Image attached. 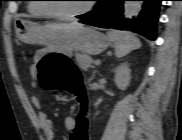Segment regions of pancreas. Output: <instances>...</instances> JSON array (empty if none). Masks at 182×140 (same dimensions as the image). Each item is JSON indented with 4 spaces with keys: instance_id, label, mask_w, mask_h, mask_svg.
I'll return each mask as SVG.
<instances>
[{
    "instance_id": "1",
    "label": "pancreas",
    "mask_w": 182,
    "mask_h": 140,
    "mask_svg": "<svg viewBox=\"0 0 182 140\" xmlns=\"http://www.w3.org/2000/svg\"><path fill=\"white\" fill-rule=\"evenodd\" d=\"M76 57V61L78 63V65L84 69V70H87L89 68L92 67V62L93 60L91 59V57H89L88 55L86 54H81V53H77L75 55Z\"/></svg>"
}]
</instances>
